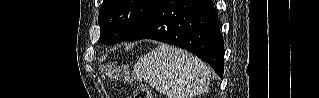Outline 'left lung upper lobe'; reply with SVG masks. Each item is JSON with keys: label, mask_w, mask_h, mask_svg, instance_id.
<instances>
[{"label": "left lung upper lobe", "mask_w": 319, "mask_h": 98, "mask_svg": "<svg viewBox=\"0 0 319 98\" xmlns=\"http://www.w3.org/2000/svg\"><path fill=\"white\" fill-rule=\"evenodd\" d=\"M158 0H104L99 11L100 41L114 44L130 38Z\"/></svg>", "instance_id": "obj_1"}]
</instances>
